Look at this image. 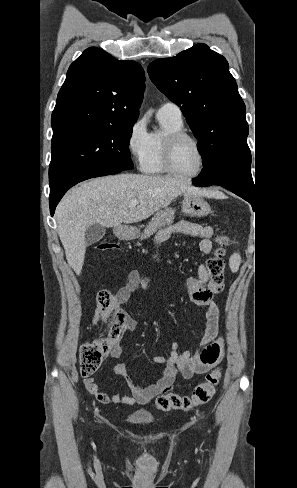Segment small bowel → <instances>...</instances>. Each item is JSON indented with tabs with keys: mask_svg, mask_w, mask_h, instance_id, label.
Returning <instances> with one entry per match:
<instances>
[{
	"mask_svg": "<svg viewBox=\"0 0 297 488\" xmlns=\"http://www.w3.org/2000/svg\"><path fill=\"white\" fill-rule=\"evenodd\" d=\"M175 233H182L198 238V249L202 254H208L211 251L213 229L210 226L182 221L161 229L155 235L153 256L156 261H161L158 251L160 245ZM139 287L149 289L151 287L150 279L141 276L137 271H133L130 273L126 284L114 295L116 307H120L129 301L132 294ZM222 289V284H216L210 280L206 265H201L198 268L197 274L187 279L189 299L197 305L205 306L207 309L201 346L195 352H180L179 344L173 342L170 345V354L168 356H153V362L163 366V370L156 382L148 386L137 384L129 374L128 362H120L113 367V373L125 379L131 393L130 395L100 392L99 386L93 376L84 378L87 391L94 395L97 401L103 404H146L170 392L178 376L190 379L196 375L206 373L219 362L222 352V342L218 338L219 308L216 302V297L222 292ZM122 316V333L112 348V356L114 358H119L121 354L123 336L135 330L137 326V321L130 314L123 312ZM93 321L95 324H100L107 323L108 320L96 314Z\"/></svg>",
	"mask_w": 297,
	"mask_h": 488,
	"instance_id": "c3829d8e",
	"label": "small bowel"
}]
</instances>
